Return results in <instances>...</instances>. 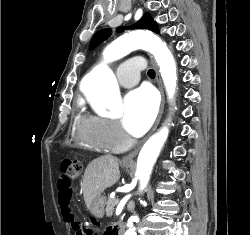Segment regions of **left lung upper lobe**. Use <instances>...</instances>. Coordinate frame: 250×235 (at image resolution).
I'll use <instances>...</instances> for the list:
<instances>
[{
    "label": "left lung upper lobe",
    "instance_id": "obj_1",
    "mask_svg": "<svg viewBox=\"0 0 250 235\" xmlns=\"http://www.w3.org/2000/svg\"><path fill=\"white\" fill-rule=\"evenodd\" d=\"M131 28L148 29L156 33H159L158 26L149 13H145L137 23L131 26ZM123 30H124L123 27L117 29L118 32H122ZM111 33L112 31L110 29H103L97 32L91 40L90 48L92 49L97 45H99L102 41L106 40L111 35Z\"/></svg>",
    "mask_w": 250,
    "mask_h": 235
}]
</instances>
